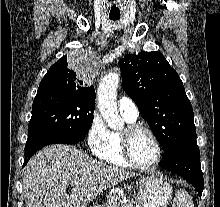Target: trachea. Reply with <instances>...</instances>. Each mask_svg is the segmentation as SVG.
Segmentation results:
<instances>
[{"label": "trachea", "mask_w": 220, "mask_h": 207, "mask_svg": "<svg viewBox=\"0 0 220 207\" xmlns=\"http://www.w3.org/2000/svg\"><path fill=\"white\" fill-rule=\"evenodd\" d=\"M110 19L113 20V21H116V20H118L119 18H113V17H111Z\"/></svg>", "instance_id": "1"}]
</instances>
